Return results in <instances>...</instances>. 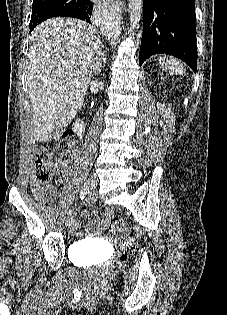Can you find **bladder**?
I'll return each instance as SVG.
<instances>
[{
	"instance_id": "1",
	"label": "bladder",
	"mask_w": 227,
	"mask_h": 315,
	"mask_svg": "<svg viewBox=\"0 0 227 315\" xmlns=\"http://www.w3.org/2000/svg\"><path fill=\"white\" fill-rule=\"evenodd\" d=\"M89 244L87 242H79L78 243V246L80 247H85V246H88Z\"/></svg>"
}]
</instances>
